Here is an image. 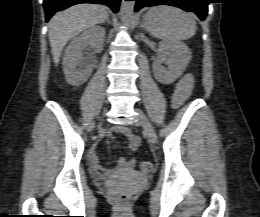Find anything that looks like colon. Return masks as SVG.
<instances>
[{"label":"colon","instance_id":"obj_1","mask_svg":"<svg viewBox=\"0 0 260 217\" xmlns=\"http://www.w3.org/2000/svg\"><path fill=\"white\" fill-rule=\"evenodd\" d=\"M140 168L144 172H149L152 170V164L149 162H142ZM113 198L114 201L120 206H125L129 202V195L125 192H114Z\"/></svg>","mask_w":260,"mask_h":217}]
</instances>
